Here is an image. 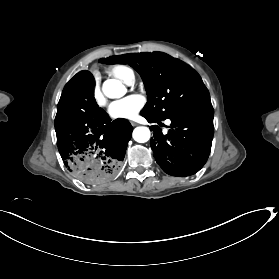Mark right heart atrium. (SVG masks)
<instances>
[{"label":"right heart atrium","mask_w":279,"mask_h":279,"mask_svg":"<svg viewBox=\"0 0 279 279\" xmlns=\"http://www.w3.org/2000/svg\"><path fill=\"white\" fill-rule=\"evenodd\" d=\"M93 97H94L96 102H100V100L102 98L101 91L97 86H95L94 89H93Z\"/></svg>","instance_id":"d8ad5b80"}]
</instances>
